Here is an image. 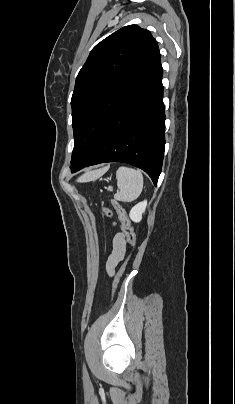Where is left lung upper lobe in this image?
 Returning a JSON list of instances; mask_svg holds the SVG:
<instances>
[{
  "label": "left lung upper lobe",
  "mask_w": 235,
  "mask_h": 404,
  "mask_svg": "<svg viewBox=\"0 0 235 404\" xmlns=\"http://www.w3.org/2000/svg\"><path fill=\"white\" fill-rule=\"evenodd\" d=\"M160 62L156 40L137 25L119 29L92 49L77 75L71 99L72 164L83 155L115 109Z\"/></svg>",
  "instance_id": "obj_1"
}]
</instances>
